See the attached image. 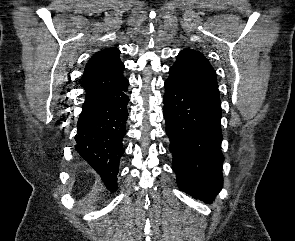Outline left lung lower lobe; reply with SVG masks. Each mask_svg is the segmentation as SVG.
<instances>
[{
  "label": "left lung lower lobe",
  "instance_id": "left-lung-lower-lobe-1",
  "mask_svg": "<svg viewBox=\"0 0 295 241\" xmlns=\"http://www.w3.org/2000/svg\"><path fill=\"white\" fill-rule=\"evenodd\" d=\"M164 118L178 187L207 203L223 186L221 102L193 91L169 71Z\"/></svg>",
  "mask_w": 295,
  "mask_h": 241
}]
</instances>
